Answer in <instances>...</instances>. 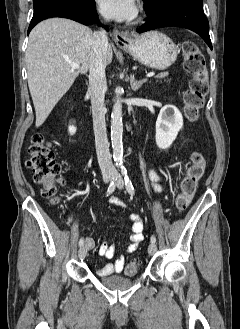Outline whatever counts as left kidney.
Wrapping results in <instances>:
<instances>
[{"mask_svg":"<svg viewBox=\"0 0 240 329\" xmlns=\"http://www.w3.org/2000/svg\"><path fill=\"white\" fill-rule=\"evenodd\" d=\"M183 127V117L173 105L161 108L156 121V144L160 149H167L176 139Z\"/></svg>","mask_w":240,"mask_h":329,"instance_id":"5707ae66","label":"left kidney"}]
</instances>
